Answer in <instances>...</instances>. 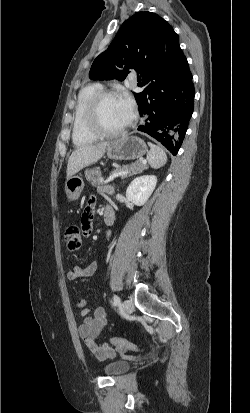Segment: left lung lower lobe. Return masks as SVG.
Here are the masks:
<instances>
[{
	"mask_svg": "<svg viewBox=\"0 0 250 413\" xmlns=\"http://www.w3.org/2000/svg\"><path fill=\"white\" fill-rule=\"evenodd\" d=\"M159 56L158 68L142 82L147 86L135 97L143 117L138 130L176 155L193 113L195 90L178 36L159 41Z\"/></svg>",
	"mask_w": 250,
	"mask_h": 413,
	"instance_id": "1",
	"label": "left lung lower lobe"
}]
</instances>
